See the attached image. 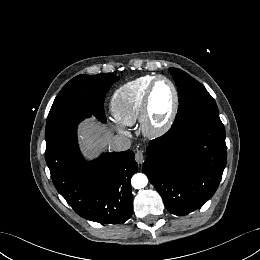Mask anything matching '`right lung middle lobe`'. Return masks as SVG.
I'll use <instances>...</instances> for the list:
<instances>
[{
  "instance_id": "obj_1",
  "label": "right lung middle lobe",
  "mask_w": 260,
  "mask_h": 260,
  "mask_svg": "<svg viewBox=\"0 0 260 260\" xmlns=\"http://www.w3.org/2000/svg\"><path fill=\"white\" fill-rule=\"evenodd\" d=\"M119 80L114 74L79 75L71 79L54 100L46 124V148L86 117L105 122L104 98L110 86Z\"/></svg>"
}]
</instances>
